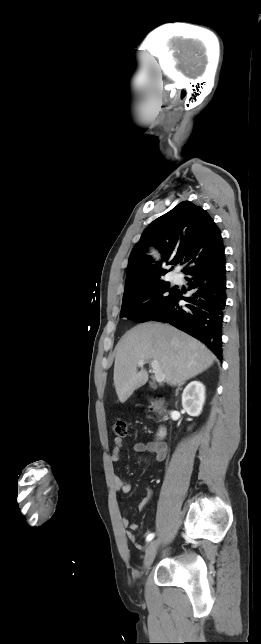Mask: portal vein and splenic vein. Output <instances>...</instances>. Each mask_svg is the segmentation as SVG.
Wrapping results in <instances>:
<instances>
[{
	"instance_id": "18ae733b",
	"label": "portal vein and splenic vein",
	"mask_w": 261,
	"mask_h": 644,
	"mask_svg": "<svg viewBox=\"0 0 261 644\" xmlns=\"http://www.w3.org/2000/svg\"><path fill=\"white\" fill-rule=\"evenodd\" d=\"M144 364H145L144 360H139L138 361L139 366H143ZM150 364H151V367H152L153 372L155 374V380L158 383L163 382L164 379H165V374L161 371L160 366H159V362L156 361V360H152Z\"/></svg>"
}]
</instances>
